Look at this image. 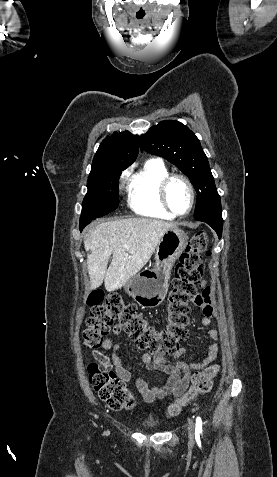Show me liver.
Listing matches in <instances>:
<instances>
[{
    "label": "liver",
    "instance_id": "liver-1",
    "mask_svg": "<svg viewBox=\"0 0 277 477\" xmlns=\"http://www.w3.org/2000/svg\"><path fill=\"white\" fill-rule=\"evenodd\" d=\"M174 227L175 223L162 220L129 218L90 228L84 238L85 250L90 251V289L100 287L103 281L108 290L125 286L147 264L165 232Z\"/></svg>",
    "mask_w": 277,
    "mask_h": 477
}]
</instances>
